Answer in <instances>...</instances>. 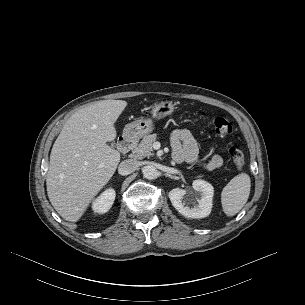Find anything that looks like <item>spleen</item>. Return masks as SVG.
<instances>
[{
  "instance_id": "1",
  "label": "spleen",
  "mask_w": 305,
  "mask_h": 305,
  "mask_svg": "<svg viewBox=\"0 0 305 305\" xmlns=\"http://www.w3.org/2000/svg\"><path fill=\"white\" fill-rule=\"evenodd\" d=\"M250 188L251 180L246 173L238 174L223 188L221 204L227 216H234L243 208L249 198Z\"/></svg>"
}]
</instances>
